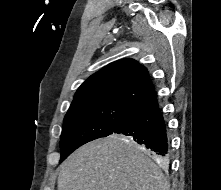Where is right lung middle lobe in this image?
I'll use <instances>...</instances> for the list:
<instances>
[{
  "label": "right lung middle lobe",
  "mask_w": 221,
  "mask_h": 190,
  "mask_svg": "<svg viewBox=\"0 0 221 190\" xmlns=\"http://www.w3.org/2000/svg\"><path fill=\"white\" fill-rule=\"evenodd\" d=\"M134 110L116 103L71 106L63 122L60 162L81 145L112 134Z\"/></svg>",
  "instance_id": "right-lung-middle-lobe-1"
}]
</instances>
